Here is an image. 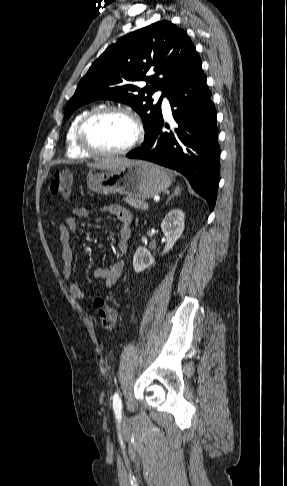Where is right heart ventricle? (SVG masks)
Here are the masks:
<instances>
[{"label": "right heart ventricle", "mask_w": 287, "mask_h": 486, "mask_svg": "<svg viewBox=\"0 0 287 486\" xmlns=\"http://www.w3.org/2000/svg\"><path fill=\"white\" fill-rule=\"evenodd\" d=\"M92 109H85L79 112L69 125L66 133V155L72 159L86 158L88 155L83 152L77 145L76 130L80 120Z\"/></svg>", "instance_id": "right-heart-ventricle-1"}]
</instances>
